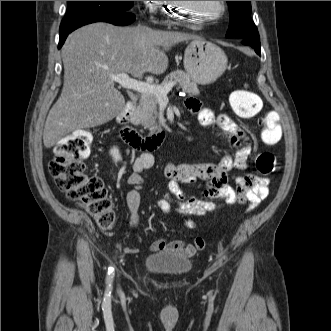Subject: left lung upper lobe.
Here are the masks:
<instances>
[{"mask_svg": "<svg viewBox=\"0 0 331 331\" xmlns=\"http://www.w3.org/2000/svg\"><path fill=\"white\" fill-rule=\"evenodd\" d=\"M230 23L227 38H258V30L251 19V1H227Z\"/></svg>", "mask_w": 331, "mask_h": 331, "instance_id": "left-lung-upper-lobe-1", "label": "left lung upper lobe"}]
</instances>
